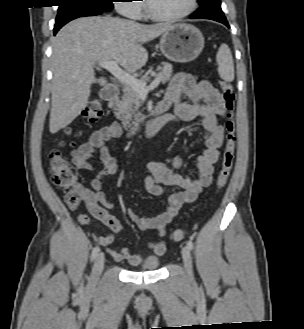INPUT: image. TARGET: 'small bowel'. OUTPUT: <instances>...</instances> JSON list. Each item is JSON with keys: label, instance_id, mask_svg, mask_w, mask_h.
Listing matches in <instances>:
<instances>
[{"label": "small bowel", "instance_id": "1", "mask_svg": "<svg viewBox=\"0 0 304 329\" xmlns=\"http://www.w3.org/2000/svg\"><path fill=\"white\" fill-rule=\"evenodd\" d=\"M165 109H172L171 119L179 122H190L196 118L202 119L204 152L197 158L198 178L183 176L162 162L151 161L146 164L145 187L155 196L169 193L166 208L153 217L139 216L132 209H127L129 219L141 230L156 229L160 240L152 241L149 249L156 255L166 250L163 237L171 219L178 213L184 203L194 202L203 188L210 185L213 178L214 164L219 158V149L223 143L224 128L220 122L225 115V108L220 92L208 81L196 82L187 73H177L161 102ZM122 133L121 125L113 122L94 131L89 139L72 152L73 163L83 171L93 170L92 159L96 154L103 164L90 182V188L80 186L83 199L90 215L100 220L109 232L98 236L97 241L115 260H125L132 265H138L142 257L132 254L127 247L116 251L112 245L114 235L121 231L118 219L108 212L114 203L107 198L104 187L106 177L117 173L118 163L108 150V142ZM182 160L175 156L172 167L177 169ZM78 221L89 225L91 219L86 214H79Z\"/></svg>", "mask_w": 304, "mask_h": 329}]
</instances>
